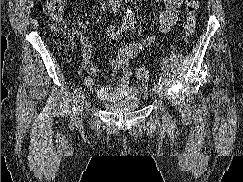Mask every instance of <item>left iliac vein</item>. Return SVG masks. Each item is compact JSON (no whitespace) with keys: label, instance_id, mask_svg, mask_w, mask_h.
Segmentation results:
<instances>
[{"label":"left iliac vein","instance_id":"1","mask_svg":"<svg viewBox=\"0 0 243 182\" xmlns=\"http://www.w3.org/2000/svg\"><path fill=\"white\" fill-rule=\"evenodd\" d=\"M153 90H154L155 94H157L158 96H161L162 95V88L159 85V83L155 84ZM169 117L170 116H169V113H168L167 109L166 108H163V110H162V120H163V123L164 124H168Z\"/></svg>","mask_w":243,"mask_h":182}]
</instances>
